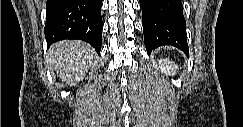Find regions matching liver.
<instances>
[{
	"label": "liver",
	"mask_w": 243,
	"mask_h": 127,
	"mask_svg": "<svg viewBox=\"0 0 243 127\" xmlns=\"http://www.w3.org/2000/svg\"><path fill=\"white\" fill-rule=\"evenodd\" d=\"M53 68L63 82L76 85L84 79L94 65L95 51L85 42L64 40L52 45L49 50Z\"/></svg>",
	"instance_id": "obj_1"
}]
</instances>
